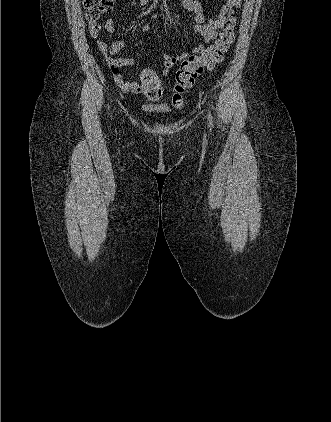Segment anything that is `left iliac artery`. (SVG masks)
Wrapping results in <instances>:
<instances>
[{
    "mask_svg": "<svg viewBox=\"0 0 331 422\" xmlns=\"http://www.w3.org/2000/svg\"><path fill=\"white\" fill-rule=\"evenodd\" d=\"M208 119H209V125L212 126L213 122H212V115L210 112L208 114Z\"/></svg>",
    "mask_w": 331,
    "mask_h": 422,
    "instance_id": "left-iliac-artery-1",
    "label": "left iliac artery"
}]
</instances>
